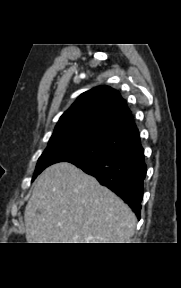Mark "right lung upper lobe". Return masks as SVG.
Listing matches in <instances>:
<instances>
[{"label":"right lung upper lobe","instance_id":"right-lung-upper-lobe-1","mask_svg":"<svg viewBox=\"0 0 181 288\" xmlns=\"http://www.w3.org/2000/svg\"><path fill=\"white\" fill-rule=\"evenodd\" d=\"M70 138L90 141L109 153L141 145L125 100L108 86L84 92L60 117L50 141Z\"/></svg>","mask_w":181,"mask_h":288}]
</instances>
